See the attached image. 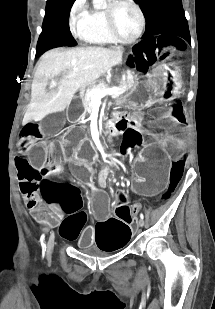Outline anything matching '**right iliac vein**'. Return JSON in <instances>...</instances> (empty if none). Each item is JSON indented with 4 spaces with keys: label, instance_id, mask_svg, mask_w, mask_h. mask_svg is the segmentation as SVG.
Returning <instances> with one entry per match:
<instances>
[{
    "label": "right iliac vein",
    "instance_id": "63e3f726",
    "mask_svg": "<svg viewBox=\"0 0 215 309\" xmlns=\"http://www.w3.org/2000/svg\"><path fill=\"white\" fill-rule=\"evenodd\" d=\"M54 241H55V234L54 232L51 233L48 243H47V252L51 253L54 248Z\"/></svg>",
    "mask_w": 215,
    "mask_h": 309
}]
</instances>
